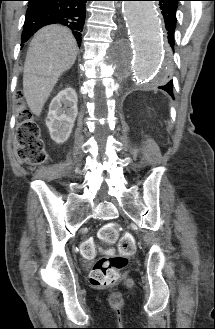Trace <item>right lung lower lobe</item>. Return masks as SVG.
Returning <instances> with one entry per match:
<instances>
[{
  "instance_id": "obj_1",
  "label": "right lung lower lobe",
  "mask_w": 215,
  "mask_h": 329,
  "mask_svg": "<svg viewBox=\"0 0 215 329\" xmlns=\"http://www.w3.org/2000/svg\"><path fill=\"white\" fill-rule=\"evenodd\" d=\"M22 43L45 25L59 23L73 30L78 45H81L86 10L89 0H28ZM23 45V44H22Z\"/></svg>"
}]
</instances>
